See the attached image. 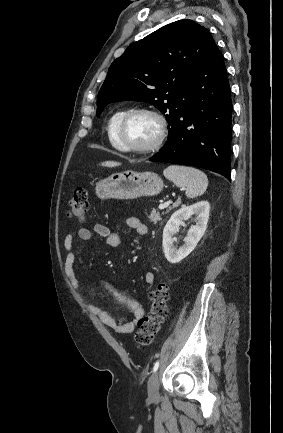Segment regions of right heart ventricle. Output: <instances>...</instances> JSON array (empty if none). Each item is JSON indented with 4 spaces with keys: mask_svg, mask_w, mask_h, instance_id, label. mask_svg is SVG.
<instances>
[{
    "mask_svg": "<svg viewBox=\"0 0 283 433\" xmlns=\"http://www.w3.org/2000/svg\"><path fill=\"white\" fill-rule=\"evenodd\" d=\"M128 110L123 108L115 111L108 119L106 124V134L108 137V140L110 144L115 148L117 151H122L120 148L117 139H116V129L117 125L122 118V116L127 112Z\"/></svg>",
    "mask_w": 283,
    "mask_h": 433,
    "instance_id": "e07e8e85",
    "label": "right heart ventricle"
}]
</instances>
